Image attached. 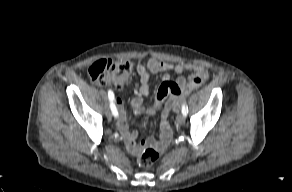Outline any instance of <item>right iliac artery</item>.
Returning a JSON list of instances; mask_svg holds the SVG:
<instances>
[{"mask_svg": "<svg viewBox=\"0 0 292 192\" xmlns=\"http://www.w3.org/2000/svg\"><path fill=\"white\" fill-rule=\"evenodd\" d=\"M108 98H109V101H110V109L112 111V114L117 117L118 116V111H117V108L114 104V101H115V96H114V93L112 90H108Z\"/></svg>", "mask_w": 292, "mask_h": 192, "instance_id": "obj_1", "label": "right iliac artery"}]
</instances>
